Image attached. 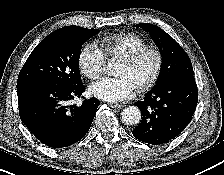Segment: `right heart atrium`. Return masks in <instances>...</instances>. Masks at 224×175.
<instances>
[{
    "instance_id": "right-heart-atrium-1",
    "label": "right heart atrium",
    "mask_w": 224,
    "mask_h": 175,
    "mask_svg": "<svg viewBox=\"0 0 224 175\" xmlns=\"http://www.w3.org/2000/svg\"><path fill=\"white\" fill-rule=\"evenodd\" d=\"M78 61L82 73L87 78L95 80L103 73L107 56L102 48L89 43L81 50Z\"/></svg>"
}]
</instances>
